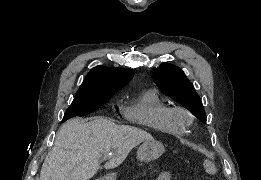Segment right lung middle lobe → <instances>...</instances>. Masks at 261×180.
Masks as SVG:
<instances>
[{
  "label": "right lung middle lobe",
  "instance_id": "1",
  "mask_svg": "<svg viewBox=\"0 0 261 180\" xmlns=\"http://www.w3.org/2000/svg\"><path fill=\"white\" fill-rule=\"evenodd\" d=\"M112 95H85L76 94L71 105L67 109L62 122L75 116H85L105 104Z\"/></svg>",
  "mask_w": 261,
  "mask_h": 180
}]
</instances>
